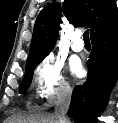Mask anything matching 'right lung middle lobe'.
I'll list each match as a JSON object with an SVG mask.
<instances>
[{"mask_svg":"<svg viewBox=\"0 0 118 123\" xmlns=\"http://www.w3.org/2000/svg\"><path fill=\"white\" fill-rule=\"evenodd\" d=\"M43 60V59H42ZM40 60L37 64H35L34 66H32L31 68L27 69L25 71V77L23 79V82L21 84V88H20V93L21 94H24L26 93L28 87L30 86L31 84V81H32V76H33V71L35 69V67L42 61Z\"/></svg>","mask_w":118,"mask_h":123,"instance_id":"right-lung-middle-lobe-1","label":"right lung middle lobe"}]
</instances>
